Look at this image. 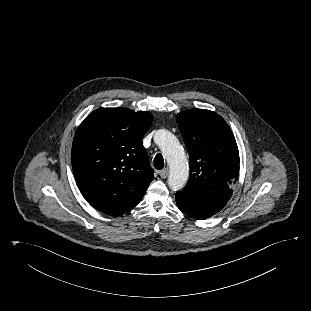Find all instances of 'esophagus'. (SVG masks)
<instances>
[{
    "instance_id": "esophagus-1",
    "label": "esophagus",
    "mask_w": 311,
    "mask_h": 311,
    "mask_svg": "<svg viewBox=\"0 0 311 311\" xmlns=\"http://www.w3.org/2000/svg\"><path fill=\"white\" fill-rule=\"evenodd\" d=\"M168 173H169L168 168H165V169L159 171V175L161 178H166L168 176Z\"/></svg>"
}]
</instances>
